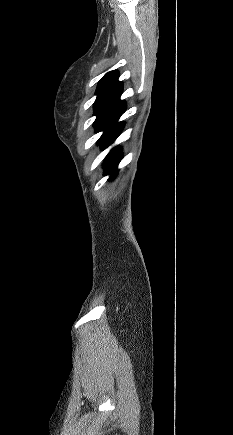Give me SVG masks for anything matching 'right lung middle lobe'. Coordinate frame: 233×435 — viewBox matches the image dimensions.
Returning <instances> with one entry per match:
<instances>
[{
    "mask_svg": "<svg viewBox=\"0 0 233 435\" xmlns=\"http://www.w3.org/2000/svg\"><path fill=\"white\" fill-rule=\"evenodd\" d=\"M120 116L101 115L97 116L94 126L96 132L104 131L98 140L100 144L121 122H117Z\"/></svg>",
    "mask_w": 233,
    "mask_h": 435,
    "instance_id": "dd1d6c3e",
    "label": "right lung middle lobe"
}]
</instances>
